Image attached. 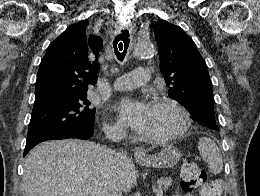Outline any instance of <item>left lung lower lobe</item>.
I'll list each match as a JSON object with an SVG mask.
<instances>
[{
	"label": "left lung lower lobe",
	"mask_w": 260,
	"mask_h": 196,
	"mask_svg": "<svg viewBox=\"0 0 260 196\" xmlns=\"http://www.w3.org/2000/svg\"><path fill=\"white\" fill-rule=\"evenodd\" d=\"M192 119L204 126L215 122L214 108L211 106L196 107L191 111Z\"/></svg>",
	"instance_id": "0a47b994"
}]
</instances>
